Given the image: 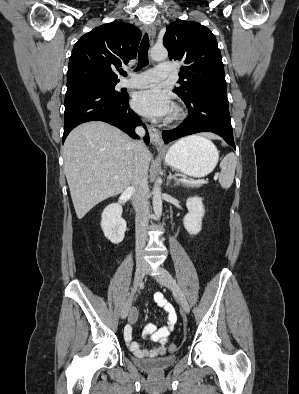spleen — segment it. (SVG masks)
I'll return each instance as SVG.
<instances>
[{
  "label": "spleen",
  "mask_w": 299,
  "mask_h": 394,
  "mask_svg": "<svg viewBox=\"0 0 299 394\" xmlns=\"http://www.w3.org/2000/svg\"><path fill=\"white\" fill-rule=\"evenodd\" d=\"M201 140L206 142H211L210 140L196 136ZM237 159L234 153H228L220 163V175H219V183L223 189H228L231 187L234 176H235V168H236Z\"/></svg>",
  "instance_id": "obj_1"
}]
</instances>
